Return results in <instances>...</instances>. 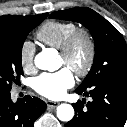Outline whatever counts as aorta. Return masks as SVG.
Masks as SVG:
<instances>
[{
	"mask_svg": "<svg viewBox=\"0 0 127 127\" xmlns=\"http://www.w3.org/2000/svg\"><path fill=\"white\" fill-rule=\"evenodd\" d=\"M35 65L41 70L54 71L56 69L55 55L45 49L35 57ZM57 117L59 120L68 122L74 117V109L70 104H61L57 107Z\"/></svg>",
	"mask_w": 127,
	"mask_h": 127,
	"instance_id": "aorta-1",
	"label": "aorta"
}]
</instances>
